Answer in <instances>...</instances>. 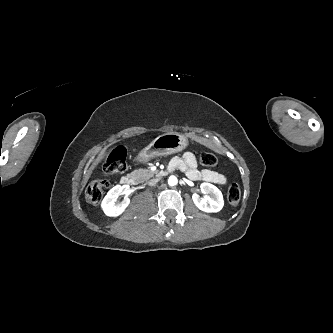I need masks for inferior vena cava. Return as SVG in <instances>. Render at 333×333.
Instances as JSON below:
<instances>
[{"label": "inferior vena cava", "mask_w": 333, "mask_h": 333, "mask_svg": "<svg viewBox=\"0 0 333 333\" xmlns=\"http://www.w3.org/2000/svg\"><path fill=\"white\" fill-rule=\"evenodd\" d=\"M157 182H158V179H152V180L148 181V184H149V185H154V184H156Z\"/></svg>", "instance_id": "602c4592"}]
</instances>
